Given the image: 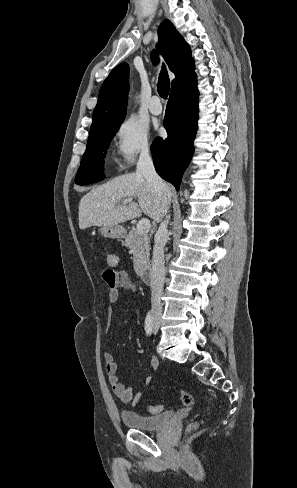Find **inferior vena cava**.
<instances>
[{"mask_svg": "<svg viewBox=\"0 0 297 488\" xmlns=\"http://www.w3.org/2000/svg\"><path fill=\"white\" fill-rule=\"evenodd\" d=\"M136 174H142L160 195L165 194L166 184L156 173L149 147L147 146L140 153L136 166ZM170 200V197L165 196L164 204L166 213ZM169 219L170 216H166V219L160 224L154 238L151 268V312L154 318L161 317L162 315L161 297L165 280L164 246L169 238L167 230Z\"/></svg>", "mask_w": 297, "mask_h": 488, "instance_id": "1", "label": "inferior vena cava"}]
</instances>
